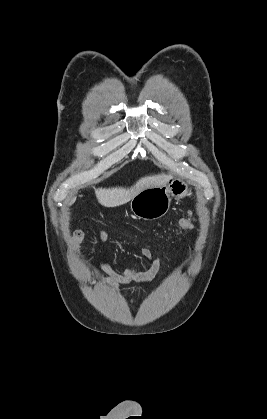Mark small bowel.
I'll use <instances>...</instances> for the list:
<instances>
[{
	"label": "small bowel",
	"instance_id": "1",
	"mask_svg": "<svg viewBox=\"0 0 267 419\" xmlns=\"http://www.w3.org/2000/svg\"><path fill=\"white\" fill-rule=\"evenodd\" d=\"M84 231L82 229L75 230L71 236L72 248L77 251L84 239ZM99 242L104 243L108 239V233L102 231L98 236ZM141 255L147 263V267L127 268L122 272L113 269L108 263L101 264V273L95 275V279L101 283L110 284L114 291L118 290L120 285L132 282L144 283L152 280L161 271V261L159 258H152V253L148 248L141 249Z\"/></svg>",
	"mask_w": 267,
	"mask_h": 419
}]
</instances>
